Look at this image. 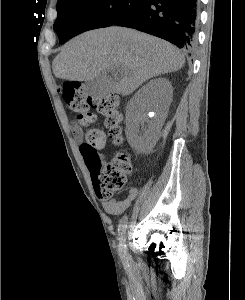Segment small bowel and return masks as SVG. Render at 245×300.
Wrapping results in <instances>:
<instances>
[{
  "label": "small bowel",
  "mask_w": 245,
  "mask_h": 300,
  "mask_svg": "<svg viewBox=\"0 0 245 300\" xmlns=\"http://www.w3.org/2000/svg\"><path fill=\"white\" fill-rule=\"evenodd\" d=\"M72 132L77 141L82 140L83 132L79 125L74 123L72 125ZM138 193L139 191L137 188H132L129 191L128 196L123 200H119V201L115 199L104 200L102 201V207L109 214H120L124 212L131 205L133 200L138 196Z\"/></svg>",
  "instance_id": "1"
}]
</instances>
